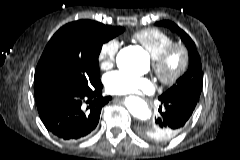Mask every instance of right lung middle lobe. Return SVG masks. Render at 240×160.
<instances>
[{"label": "right lung middle lobe", "instance_id": "1", "mask_svg": "<svg viewBox=\"0 0 240 160\" xmlns=\"http://www.w3.org/2000/svg\"><path fill=\"white\" fill-rule=\"evenodd\" d=\"M90 20H79L61 27L50 39L38 62L34 92L51 86L72 91L88 90L100 82L97 58L103 43L122 33Z\"/></svg>", "mask_w": 240, "mask_h": 160}]
</instances>
